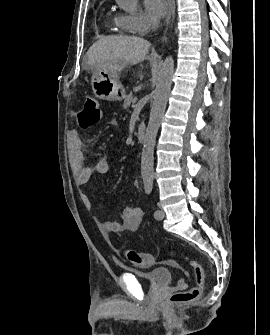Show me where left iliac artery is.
Returning a JSON list of instances; mask_svg holds the SVG:
<instances>
[{"label":"left iliac artery","instance_id":"obj_1","mask_svg":"<svg viewBox=\"0 0 270 335\" xmlns=\"http://www.w3.org/2000/svg\"><path fill=\"white\" fill-rule=\"evenodd\" d=\"M144 188H145V192L146 194H150L152 192V188H153V181L151 179H147L144 182ZM159 215V210H156L154 212V217H158Z\"/></svg>","mask_w":270,"mask_h":335}]
</instances>
